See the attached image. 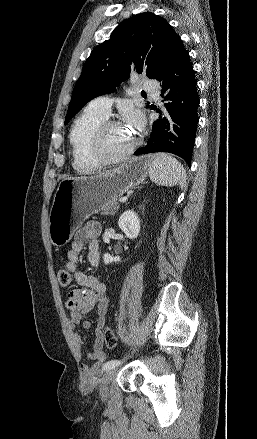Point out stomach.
Listing matches in <instances>:
<instances>
[{
	"label": "stomach",
	"mask_w": 257,
	"mask_h": 439,
	"mask_svg": "<svg viewBox=\"0 0 257 439\" xmlns=\"http://www.w3.org/2000/svg\"><path fill=\"white\" fill-rule=\"evenodd\" d=\"M151 156L133 157L118 167L91 177L62 180L49 215L53 244L69 242L78 226L100 207L141 184L149 173Z\"/></svg>",
	"instance_id": "0dacf381"
}]
</instances>
